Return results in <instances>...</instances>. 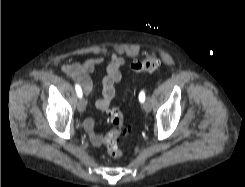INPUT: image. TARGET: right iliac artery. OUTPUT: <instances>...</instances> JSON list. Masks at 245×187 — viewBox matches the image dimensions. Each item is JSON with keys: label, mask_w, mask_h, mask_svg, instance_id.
Masks as SVG:
<instances>
[{"label": "right iliac artery", "mask_w": 245, "mask_h": 187, "mask_svg": "<svg viewBox=\"0 0 245 187\" xmlns=\"http://www.w3.org/2000/svg\"><path fill=\"white\" fill-rule=\"evenodd\" d=\"M75 90H76L77 96L79 98H81L82 97V89L78 84L75 85Z\"/></svg>", "instance_id": "1"}]
</instances>
